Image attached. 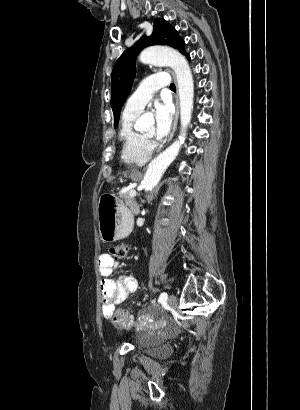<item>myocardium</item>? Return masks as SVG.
Listing matches in <instances>:
<instances>
[{
  "mask_svg": "<svg viewBox=\"0 0 300 410\" xmlns=\"http://www.w3.org/2000/svg\"><path fill=\"white\" fill-rule=\"evenodd\" d=\"M144 138H146V139H149L150 137L149 136H143Z\"/></svg>",
  "mask_w": 300,
  "mask_h": 410,
  "instance_id": "1",
  "label": "myocardium"
}]
</instances>
